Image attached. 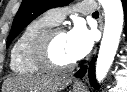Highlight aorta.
Masks as SVG:
<instances>
[{
	"label": "aorta",
	"mask_w": 127,
	"mask_h": 92,
	"mask_svg": "<svg viewBox=\"0 0 127 92\" xmlns=\"http://www.w3.org/2000/svg\"><path fill=\"white\" fill-rule=\"evenodd\" d=\"M105 12V27L96 62L98 82L106 77L116 55L123 29L121 0H99Z\"/></svg>",
	"instance_id": "obj_1"
}]
</instances>
